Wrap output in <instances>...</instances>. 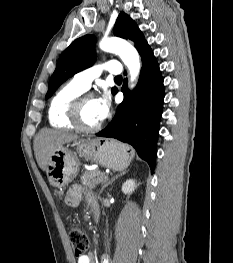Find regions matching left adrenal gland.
Returning <instances> with one entry per match:
<instances>
[{"label": "left adrenal gland", "mask_w": 233, "mask_h": 263, "mask_svg": "<svg viewBox=\"0 0 233 263\" xmlns=\"http://www.w3.org/2000/svg\"><path fill=\"white\" fill-rule=\"evenodd\" d=\"M126 173H127V171H123V172H121L120 174L114 176L109 182H107L104 186H102V188H101V190H100V193H102L103 190H104L107 186L111 185L117 178H119V177L122 176V175H125Z\"/></svg>", "instance_id": "1"}]
</instances>
